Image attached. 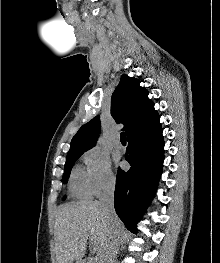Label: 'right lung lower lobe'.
Masks as SVG:
<instances>
[{"instance_id":"1","label":"right lung lower lobe","mask_w":220,"mask_h":263,"mask_svg":"<svg viewBox=\"0 0 220 263\" xmlns=\"http://www.w3.org/2000/svg\"><path fill=\"white\" fill-rule=\"evenodd\" d=\"M125 159L129 171L118 169L114 206L131 232L151 202L162 173L164 142L162 128L137 134L128 139Z\"/></svg>"}]
</instances>
